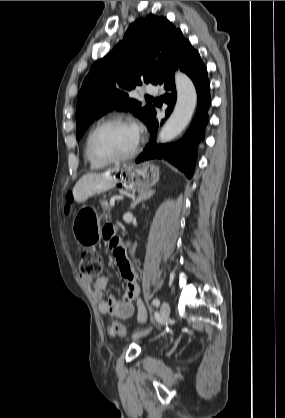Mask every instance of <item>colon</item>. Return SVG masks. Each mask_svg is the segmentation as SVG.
<instances>
[{"label":"colon","mask_w":285,"mask_h":418,"mask_svg":"<svg viewBox=\"0 0 285 418\" xmlns=\"http://www.w3.org/2000/svg\"><path fill=\"white\" fill-rule=\"evenodd\" d=\"M113 254L118 260L125 258V252L122 246H119ZM77 267L78 272L82 277L90 278L98 276L102 269L100 257L95 251L83 252L78 260ZM109 331L120 335L126 334L124 326L116 321L111 324Z\"/></svg>","instance_id":"1"}]
</instances>
